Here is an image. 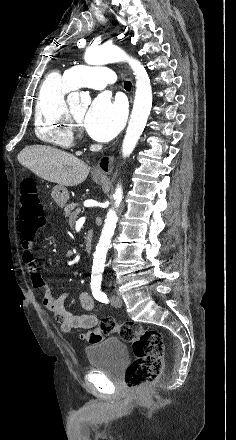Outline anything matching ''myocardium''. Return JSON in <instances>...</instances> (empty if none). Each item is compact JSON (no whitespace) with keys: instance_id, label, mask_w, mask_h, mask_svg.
I'll list each match as a JSON object with an SVG mask.
<instances>
[{"instance_id":"f54148a6","label":"myocardium","mask_w":236,"mask_h":440,"mask_svg":"<svg viewBox=\"0 0 236 440\" xmlns=\"http://www.w3.org/2000/svg\"><path fill=\"white\" fill-rule=\"evenodd\" d=\"M67 117H68L70 129H71L73 135H76L77 137H81L82 136V125L80 124V122L77 121V119L75 118V116L73 115L71 110H68Z\"/></svg>"}]
</instances>
